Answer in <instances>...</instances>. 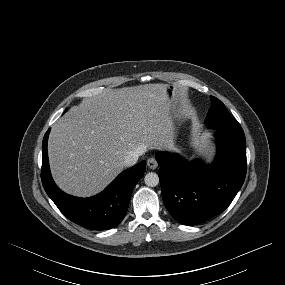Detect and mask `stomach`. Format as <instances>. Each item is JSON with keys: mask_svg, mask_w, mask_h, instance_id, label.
Listing matches in <instances>:
<instances>
[{"mask_svg": "<svg viewBox=\"0 0 285 285\" xmlns=\"http://www.w3.org/2000/svg\"><path fill=\"white\" fill-rule=\"evenodd\" d=\"M165 93L168 96L170 102L173 104L177 99V90L171 85H167Z\"/></svg>", "mask_w": 285, "mask_h": 285, "instance_id": "0dacf381", "label": "stomach"}]
</instances>
